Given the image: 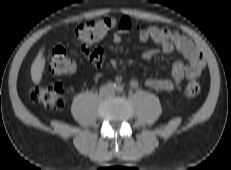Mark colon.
<instances>
[{
    "label": "colon",
    "instance_id": "colon-1",
    "mask_svg": "<svg viewBox=\"0 0 231 170\" xmlns=\"http://www.w3.org/2000/svg\"><path fill=\"white\" fill-rule=\"evenodd\" d=\"M115 25L116 21L108 17L90 20L76 28L73 38L82 44L92 43L105 37ZM48 69L53 75L70 74L75 71L76 63L64 47L57 46L52 51ZM184 92L188 97L197 96L201 92V86L197 81H191L186 85ZM65 94L66 89L60 83L32 86L29 90V97L33 102L54 110L65 107L67 102Z\"/></svg>",
    "mask_w": 231,
    "mask_h": 170
}]
</instances>
